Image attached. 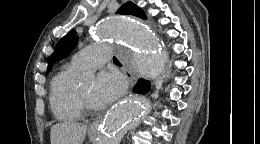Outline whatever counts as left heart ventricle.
Wrapping results in <instances>:
<instances>
[{
    "label": "left heart ventricle",
    "mask_w": 260,
    "mask_h": 144,
    "mask_svg": "<svg viewBox=\"0 0 260 144\" xmlns=\"http://www.w3.org/2000/svg\"><path fill=\"white\" fill-rule=\"evenodd\" d=\"M82 90L84 92V94L86 95V97L89 99V101L97 106L93 100V91H94V84L93 83H89V84H84L82 85Z\"/></svg>",
    "instance_id": "obj_1"
}]
</instances>
